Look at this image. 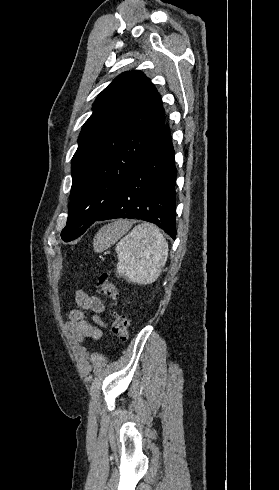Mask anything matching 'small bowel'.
<instances>
[{"label": "small bowel", "mask_w": 279, "mask_h": 490, "mask_svg": "<svg viewBox=\"0 0 279 490\" xmlns=\"http://www.w3.org/2000/svg\"><path fill=\"white\" fill-rule=\"evenodd\" d=\"M75 302L79 309H73L69 312V319L66 323L67 329L78 341H83L86 338L99 340L102 336L103 327V322L99 317L104 309L102 301L96 296L77 291ZM87 315L91 316L94 323L87 320Z\"/></svg>", "instance_id": "obj_1"}]
</instances>
